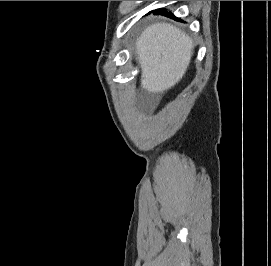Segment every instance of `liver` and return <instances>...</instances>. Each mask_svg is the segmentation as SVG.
<instances>
[{
	"label": "liver",
	"instance_id": "6515ba94",
	"mask_svg": "<svg viewBox=\"0 0 271 266\" xmlns=\"http://www.w3.org/2000/svg\"><path fill=\"white\" fill-rule=\"evenodd\" d=\"M193 49L190 37L173 25L156 23L147 27L135 48L141 87L150 93H163L173 87L184 76Z\"/></svg>",
	"mask_w": 271,
	"mask_h": 266
}]
</instances>
